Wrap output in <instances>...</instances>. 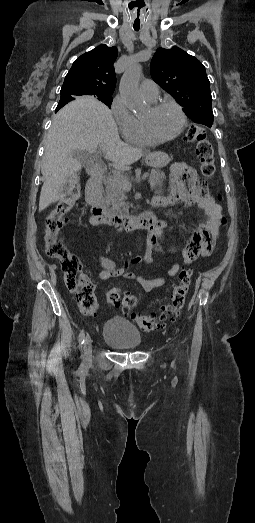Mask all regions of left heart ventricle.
Instances as JSON below:
<instances>
[{
  "label": "left heart ventricle",
  "mask_w": 255,
  "mask_h": 523,
  "mask_svg": "<svg viewBox=\"0 0 255 523\" xmlns=\"http://www.w3.org/2000/svg\"><path fill=\"white\" fill-rule=\"evenodd\" d=\"M148 119L153 133L158 137L173 135L180 126V116L172 106H164L156 111L151 108L142 117Z\"/></svg>",
  "instance_id": "1"
}]
</instances>
